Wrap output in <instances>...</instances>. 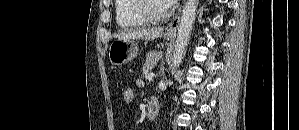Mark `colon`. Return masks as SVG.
Instances as JSON below:
<instances>
[{"label": "colon", "instance_id": "1", "mask_svg": "<svg viewBox=\"0 0 299 130\" xmlns=\"http://www.w3.org/2000/svg\"><path fill=\"white\" fill-rule=\"evenodd\" d=\"M135 98V90L132 86H126L122 91V100L125 104H130Z\"/></svg>", "mask_w": 299, "mask_h": 130}]
</instances>
